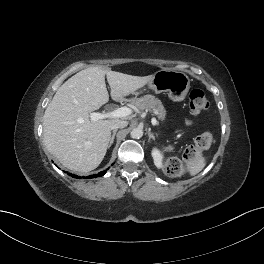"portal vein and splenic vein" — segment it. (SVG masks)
I'll list each match as a JSON object with an SVG mask.
<instances>
[{"mask_svg":"<svg viewBox=\"0 0 264 264\" xmlns=\"http://www.w3.org/2000/svg\"><path fill=\"white\" fill-rule=\"evenodd\" d=\"M132 110L128 107H121L116 110L107 112V113H99V112H92L90 113V118L92 121H98L102 119H111V118H122L130 115ZM152 125H157V120L155 118L152 119Z\"/></svg>","mask_w":264,"mask_h":264,"instance_id":"portal-vein-and-splenic-vein-1","label":"portal vein and splenic vein"}]
</instances>
